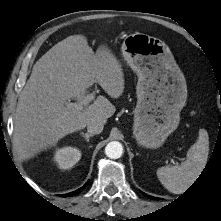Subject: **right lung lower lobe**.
Returning <instances> with one entry per match:
<instances>
[{
    "label": "right lung lower lobe",
    "mask_w": 221,
    "mask_h": 221,
    "mask_svg": "<svg viewBox=\"0 0 221 221\" xmlns=\"http://www.w3.org/2000/svg\"><path fill=\"white\" fill-rule=\"evenodd\" d=\"M86 185H87V184H86ZM86 185H85V186H86ZM83 188H84V186L81 187L80 189L74 191V192H71V193H68V194H65V195H61V196H74V195L78 194L79 192H81V190H82Z\"/></svg>",
    "instance_id": "right-lung-lower-lobe-1"
}]
</instances>
